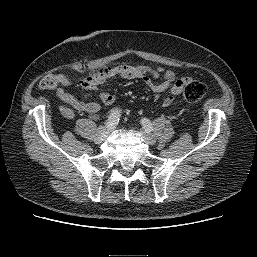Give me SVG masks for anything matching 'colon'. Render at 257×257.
<instances>
[{
	"mask_svg": "<svg viewBox=\"0 0 257 257\" xmlns=\"http://www.w3.org/2000/svg\"><path fill=\"white\" fill-rule=\"evenodd\" d=\"M108 68H103L98 71L91 73L84 81H91L94 78L104 75L107 73ZM56 81L53 75H46L40 81V87L42 89H53L56 86ZM206 94V86L199 81L190 80L183 88V98L186 102L196 103L204 98Z\"/></svg>",
	"mask_w": 257,
	"mask_h": 257,
	"instance_id": "5ec220e1",
	"label": "colon"
}]
</instances>
